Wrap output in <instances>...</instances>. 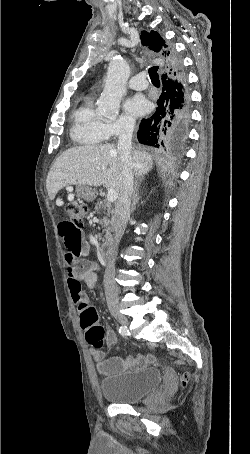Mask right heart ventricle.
<instances>
[{
  "label": "right heart ventricle",
  "mask_w": 250,
  "mask_h": 454,
  "mask_svg": "<svg viewBox=\"0 0 250 454\" xmlns=\"http://www.w3.org/2000/svg\"><path fill=\"white\" fill-rule=\"evenodd\" d=\"M70 137L82 146H97L109 138L106 123L97 115L90 101L75 112Z\"/></svg>",
  "instance_id": "obj_1"
}]
</instances>
